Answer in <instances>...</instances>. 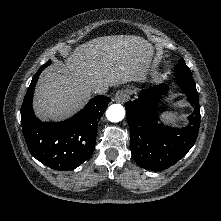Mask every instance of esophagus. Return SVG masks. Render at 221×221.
I'll return each mask as SVG.
<instances>
[{
	"label": "esophagus",
	"mask_w": 221,
	"mask_h": 221,
	"mask_svg": "<svg viewBox=\"0 0 221 221\" xmlns=\"http://www.w3.org/2000/svg\"><path fill=\"white\" fill-rule=\"evenodd\" d=\"M130 96V91L128 89L118 90L115 94V100L119 103H124Z\"/></svg>",
	"instance_id": "obj_1"
}]
</instances>
